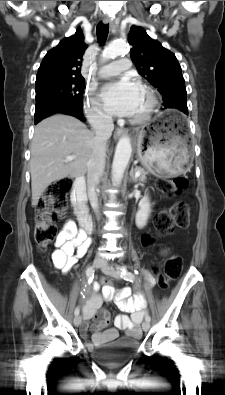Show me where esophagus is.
Here are the masks:
<instances>
[{
	"label": "esophagus",
	"instance_id": "esophagus-1",
	"mask_svg": "<svg viewBox=\"0 0 225 395\" xmlns=\"http://www.w3.org/2000/svg\"><path fill=\"white\" fill-rule=\"evenodd\" d=\"M103 23H104V24H109L110 26L113 25L112 19H111L110 17H108V16H105V17L103 18ZM126 133H127V130H126V129L117 128V129L115 130V132H114V137H115V138H119L120 136H122V135H124V134H126Z\"/></svg>",
	"mask_w": 225,
	"mask_h": 395
}]
</instances>
